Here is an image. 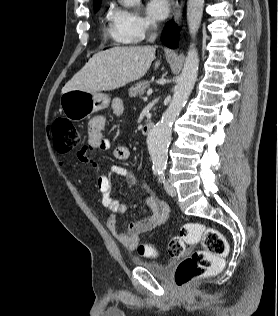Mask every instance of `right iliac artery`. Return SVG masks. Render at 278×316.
I'll return each mask as SVG.
<instances>
[{
	"label": "right iliac artery",
	"mask_w": 278,
	"mask_h": 316,
	"mask_svg": "<svg viewBox=\"0 0 278 316\" xmlns=\"http://www.w3.org/2000/svg\"><path fill=\"white\" fill-rule=\"evenodd\" d=\"M160 170L161 169H159V168L154 169V174H159Z\"/></svg>",
	"instance_id": "right-iliac-artery-1"
}]
</instances>
